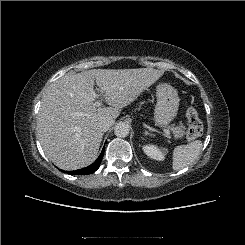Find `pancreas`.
<instances>
[{
    "label": "pancreas",
    "mask_w": 245,
    "mask_h": 245,
    "mask_svg": "<svg viewBox=\"0 0 245 245\" xmlns=\"http://www.w3.org/2000/svg\"><path fill=\"white\" fill-rule=\"evenodd\" d=\"M168 129L174 134V137L176 139H181L185 134V128L182 125L175 126L174 124H172L168 127Z\"/></svg>",
    "instance_id": "1"
}]
</instances>
